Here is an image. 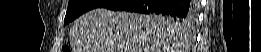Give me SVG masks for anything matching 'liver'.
<instances>
[{"label":"liver","mask_w":261,"mask_h":52,"mask_svg":"<svg viewBox=\"0 0 261 52\" xmlns=\"http://www.w3.org/2000/svg\"><path fill=\"white\" fill-rule=\"evenodd\" d=\"M180 27L161 15L97 8L73 22L70 37L77 52H179Z\"/></svg>","instance_id":"1"}]
</instances>
